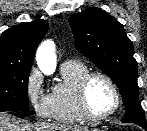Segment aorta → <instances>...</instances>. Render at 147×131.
I'll list each match as a JSON object with an SVG mask.
<instances>
[{"label": "aorta", "instance_id": "1", "mask_svg": "<svg viewBox=\"0 0 147 131\" xmlns=\"http://www.w3.org/2000/svg\"><path fill=\"white\" fill-rule=\"evenodd\" d=\"M36 59L41 72L47 75L52 74L56 68V54L54 44L50 41H45L42 43L38 48Z\"/></svg>", "mask_w": 147, "mask_h": 131}]
</instances>
